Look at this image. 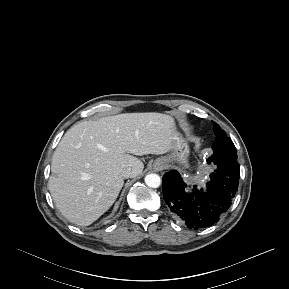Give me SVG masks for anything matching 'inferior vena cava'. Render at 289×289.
<instances>
[{
    "mask_svg": "<svg viewBox=\"0 0 289 289\" xmlns=\"http://www.w3.org/2000/svg\"><path fill=\"white\" fill-rule=\"evenodd\" d=\"M120 175H121V177L124 178V179H125V178H129V177L132 176V171H131L130 168H128V169L123 170V171L120 173Z\"/></svg>",
    "mask_w": 289,
    "mask_h": 289,
    "instance_id": "1",
    "label": "inferior vena cava"
}]
</instances>
